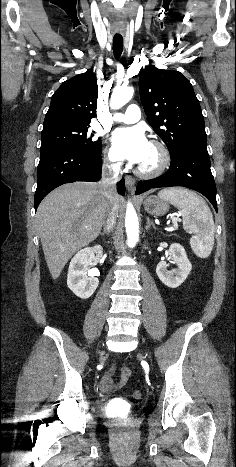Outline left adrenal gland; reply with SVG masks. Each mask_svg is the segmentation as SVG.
Instances as JSON below:
<instances>
[{
	"label": "left adrenal gland",
	"mask_w": 236,
	"mask_h": 467,
	"mask_svg": "<svg viewBox=\"0 0 236 467\" xmlns=\"http://www.w3.org/2000/svg\"><path fill=\"white\" fill-rule=\"evenodd\" d=\"M151 226H152L154 229H156L155 224H154L152 221H150L149 217H147L146 230H148Z\"/></svg>",
	"instance_id": "a2214340"
}]
</instances>
